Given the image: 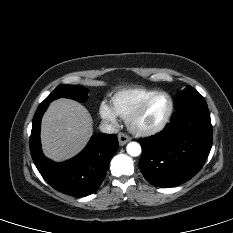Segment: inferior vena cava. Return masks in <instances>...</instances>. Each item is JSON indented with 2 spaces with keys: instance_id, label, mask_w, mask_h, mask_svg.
<instances>
[{
  "instance_id": "602c4592",
  "label": "inferior vena cava",
  "mask_w": 233,
  "mask_h": 233,
  "mask_svg": "<svg viewBox=\"0 0 233 233\" xmlns=\"http://www.w3.org/2000/svg\"><path fill=\"white\" fill-rule=\"evenodd\" d=\"M99 129L103 133L113 134L118 133L119 128L116 124H111L106 121L101 122Z\"/></svg>"
}]
</instances>
